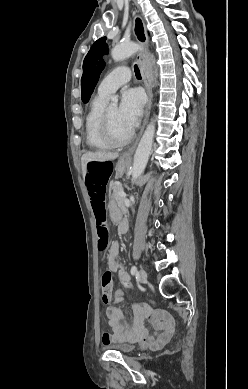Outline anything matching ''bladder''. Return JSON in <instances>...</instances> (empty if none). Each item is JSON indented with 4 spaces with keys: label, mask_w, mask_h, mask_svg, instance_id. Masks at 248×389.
I'll return each instance as SVG.
<instances>
[{
    "label": "bladder",
    "mask_w": 248,
    "mask_h": 389,
    "mask_svg": "<svg viewBox=\"0 0 248 389\" xmlns=\"http://www.w3.org/2000/svg\"><path fill=\"white\" fill-rule=\"evenodd\" d=\"M111 349L118 351L122 354H129L134 350V346L130 344L121 343L119 341L113 342L110 346Z\"/></svg>",
    "instance_id": "1"
}]
</instances>
